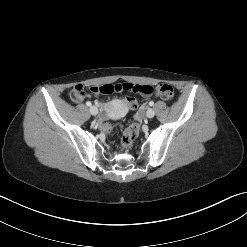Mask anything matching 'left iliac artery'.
Segmentation results:
<instances>
[{
  "label": "left iliac artery",
  "instance_id": "1",
  "mask_svg": "<svg viewBox=\"0 0 247 247\" xmlns=\"http://www.w3.org/2000/svg\"><path fill=\"white\" fill-rule=\"evenodd\" d=\"M149 105H150V106H153V105H154V102H153V101H150V102H149Z\"/></svg>",
  "mask_w": 247,
  "mask_h": 247
}]
</instances>
